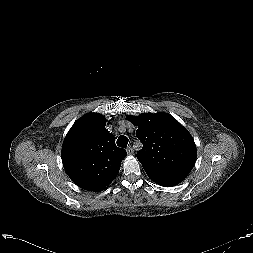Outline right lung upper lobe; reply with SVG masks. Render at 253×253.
<instances>
[{
	"label": "right lung upper lobe",
	"instance_id": "obj_1",
	"mask_svg": "<svg viewBox=\"0 0 253 253\" xmlns=\"http://www.w3.org/2000/svg\"><path fill=\"white\" fill-rule=\"evenodd\" d=\"M97 113L78 119L62 145V162L70 179L80 188L100 192L115 179L127 152L118 148Z\"/></svg>",
	"mask_w": 253,
	"mask_h": 253
}]
</instances>
